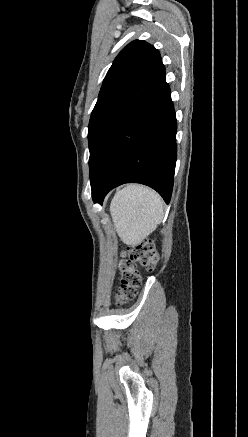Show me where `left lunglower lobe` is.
Returning <instances> with one entry per match:
<instances>
[{"label": "left lung lower lobe", "instance_id": "1", "mask_svg": "<svg viewBox=\"0 0 248 437\" xmlns=\"http://www.w3.org/2000/svg\"><path fill=\"white\" fill-rule=\"evenodd\" d=\"M177 123L166 81L146 99L113 136L91 182L94 202L124 183L155 189L169 203L177 157Z\"/></svg>", "mask_w": 248, "mask_h": 437}]
</instances>
